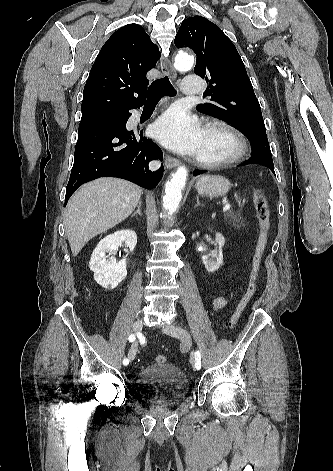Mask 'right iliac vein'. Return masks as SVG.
Segmentation results:
<instances>
[{"mask_svg":"<svg viewBox=\"0 0 333 471\" xmlns=\"http://www.w3.org/2000/svg\"><path fill=\"white\" fill-rule=\"evenodd\" d=\"M143 321L142 320H137L136 322H134L133 324V331L135 333H140L143 329ZM136 353H137V343L135 342L130 350H129V353H128V357L130 359V361H133L136 357Z\"/></svg>","mask_w":333,"mask_h":471,"instance_id":"right-iliac-vein-1","label":"right iliac vein"}]
</instances>
